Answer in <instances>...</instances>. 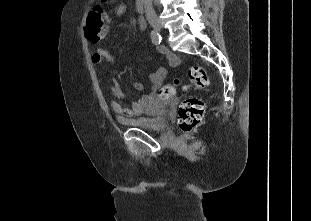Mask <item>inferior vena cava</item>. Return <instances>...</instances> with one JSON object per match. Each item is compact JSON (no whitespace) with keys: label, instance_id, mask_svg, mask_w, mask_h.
Returning a JSON list of instances; mask_svg holds the SVG:
<instances>
[{"label":"inferior vena cava","instance_id":"inferior-vena-cava-1","mask_svg":"<svg viewBox=\"0 0 311 221\" xmlns=\"http://www.w3.org/2000/svg\"><path fill=\"white\" fill-rule=\"evenodd\" d=\"M144 6L146 16H149V14H153V16H156L152 0H144Z\"/></svg>","mask_w":311,"mask_h":221}]
</instances>
